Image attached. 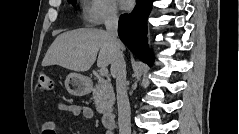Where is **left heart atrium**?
<instances>
[{
	"label": "left heart atrium",
	"instance_id": "obj_1",
	"mask_svg": "<svg viewBox=\"0 0 239 134\" xmlns=\"http://www.w3.org/2000/svg\"><path fill=\"white\" fill-rule=\"evenodd\" d=\"M120 2H121V6H122L123 8H128L129 5H130V1H128V0H122V1H120Z\"/></svg>",
	"mask_w": 239,
	"mask_h": 134
}]
</instances>
